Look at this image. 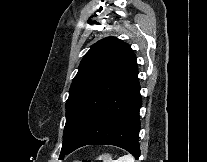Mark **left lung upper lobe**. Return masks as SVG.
Masks as SVG:
<instances>
[{
  "instance_id": "1",
  "label": "left lung upper lobe",
  "mask_w": 207,
  "mask_h": 162,
  "mask_svg": "<svg viewBox=\"0 0 207 162\" xmlns=\"http://www.w3.org/2000/svg\"><path fill=\"white\" fill-rule=\"evenodd\" d=\"M137 70L133 50L120 39L107 37L91 47L70 87L60 157L74 144L98 107Z\"/></svg>"
}]
</instances>
